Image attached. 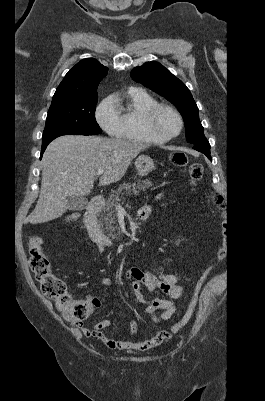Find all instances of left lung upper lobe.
Listing matches in <instances>:
<instances>
[{
  "instance_id": "5c2ea615",
  "label": "left lung upper lobe",
  "mask_w": 265,
  "mask_h": 401,
  "mask_svg": "<svg viewBox=\"0 0 265 401\" xmlns=\"http://www.w3.org/2000/svg\"><path fill=\"white\" fill-rule=\"evenodd\" d=\"M131 77L177 107L185 123L187 142L197 144L206 140L199 120L198 107L181 80L157 62H147L134 68Z\"/></svg>"
}]
</instances>
